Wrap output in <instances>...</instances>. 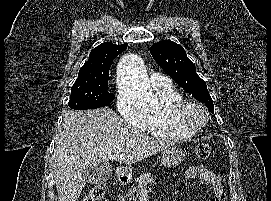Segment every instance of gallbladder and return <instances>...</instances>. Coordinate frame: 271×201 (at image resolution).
<instances>
[{
  "label": "gallbladder",
  "mask_w": 271,
  "mask_h": 201,
  "mask_svg": "<svg viewBox=\"0 0 271 201\" xmlns=\"http://www.w3.org/2000/svg\"><path fill=\"white\" fill-rule=\"evenodd\" d=\"M112 170L108 163H90L84 170L83 175L89 184H99L110 179Z\"/></svg>",
  "instance_id": "1"
}]
</instances>
